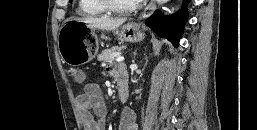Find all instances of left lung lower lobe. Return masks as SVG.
Returning <instances> with one entry per match:
<instances>
[{
    "mask_svg": "<svg viewBox=\"0 0 257 130\" xmlns=\"http://www.w3.org/2000/svg\"><path fill=\"white\" fill-rule=\"evenodd\" d=\"M189 0H185L184 5ZM188 13L183 7L180 12L173 16H164L159 10L146 20V25L152 28L159 36L168 37L175 47L178 46Z\"/></svg>",
    "mask_w": 257,
    "mask_h": 130,
    "instance_id": "obj_1",
    "label": "left lung lower lobe"
}]
</instances>
